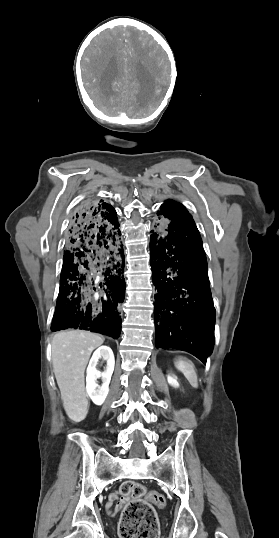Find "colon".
<instances>
[{"label": "colon", "mask_w": 279, "mask_h": 538, "mask_svg": "<svg viewBox=\"0 0 279 538\" xmlns=\"http://www.w3.org/2000/svg\"><path fill=\"white\" fill-rule=\"evenodd\" d=\"M120 491L122 495L132 497L122 514L120 538H156L158 521L152 504L165 507L164 495L157 491L146 492L141 484L131 481L123 483Z\"/></svg>", "instance_id": "obj_1"}]
</instances>
